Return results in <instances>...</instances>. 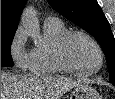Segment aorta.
<instances>
[{
  "mask_svg": "<svg viewBox=\"0 0 115 99\" xmlns=\"http://www.w3.org/2000/svg\"><path fill=\"white\" fill-rule=\"evenodd\" d=\"M22 25L25 27L34 38H37L39 35V25L36 19L35 13L32 9H28L22 18Z\"/></svg>",
  "mask_w": 115,
  "mask_h": 99,
  "instance_id": "aorta-1",
  "label": "aorta"
}]
</instances>
